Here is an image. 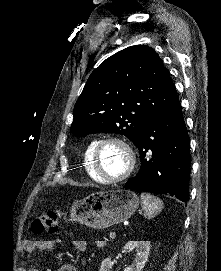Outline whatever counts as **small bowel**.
I'll use <instances>...</instances> for the list:
<instances>
[{
	"label": "small bowel",
	"mask_w": 221,
	"mask_h": 271,
	"mask_svg": "<svg viewBox=\"0 0 221 271\" xmlns=\"http://www.w3.org/2000/svg\"><path fill=\"white\" fill-rule=\"evenodd\" d=\"M61 241L51 240V239H26L22 242L21 250L24 252H32V251H40L46 252L53 250L54 246ZM74 247L79 252H85L87 249V242L82 239H77L74 241ZM19 271H25V269L21 268ZM32 271H37V269H33ZM58 271H78V269L69 263L63 264L58 268Z\"/></svg>",
	"instance_id": "1"
}]
</instances>
